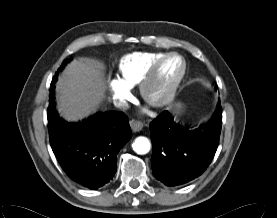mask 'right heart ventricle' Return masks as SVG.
<instances>
[{"instance_id": "right-heart-ventricle-1", "label": "right heart ventricle", "mask_w": 277, "mask_h": 218, "mask_svg": "<svg viewBox=\"0 0 277 218\" xmlns=\"http://www.w3.org/2000/svg\"><path fill=\"white\" fill-rule=\"evenodd\" d=\"M163 52H134L124 56L119 64L122 81L129 87L137 86L143 80L151 64Z\"/></svg>"}]
</instances>
